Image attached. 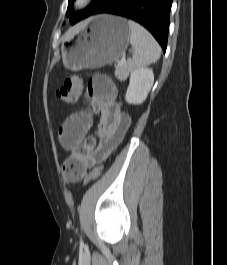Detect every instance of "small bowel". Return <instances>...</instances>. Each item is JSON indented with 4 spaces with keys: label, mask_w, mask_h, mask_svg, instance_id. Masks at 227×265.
Returning <instances> with one entry per match:
<instances>
[{
    "label": "small bowel",
    "mask_w": 227,
    "mask_h": 265,
    "mask_svg": "<svg viewBox=\"0 0 227 265\" xmlns=\"http://www.w3.org/2000/svg\"><path fill=\"white\" fill-rule=\"evenodd\" d=\"M87 95L92 111L71 114L58 131L61 146L78 153L83 159L75 177L72 180L66 177L69 181H78L87 168L106 160L121 143L131 124L130 116L122 112L116 102L117 88L108 76L97 75L90 79ZM96 116L99 117L97 139L87 137Z\"/></svg>",
    "instance_id": "obj_1"
}]
</instances>
